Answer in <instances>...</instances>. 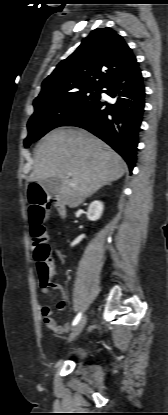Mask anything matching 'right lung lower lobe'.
<instances>
[{"mask_svg":"<svg viewBox=\"0 0 168 415\" xmlns=\"http://www.w3.org/2000/svg\"><path fill=\"white\" fill-rule=\"evenodd\" d=\"M103 88L116 101L101 98L63 126H76L93 133L135 167L138 132L144 111L145 89L138 63L110 80Z\"/></svg>","mask_w":168,"mask_h":415,"instance_id":"98d812e1","label":"right lung lower lobe"}]
</instances>
